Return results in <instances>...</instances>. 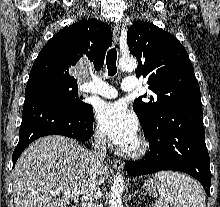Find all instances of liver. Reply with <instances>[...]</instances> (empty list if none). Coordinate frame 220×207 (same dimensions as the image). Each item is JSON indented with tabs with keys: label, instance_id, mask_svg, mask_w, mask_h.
<instances>
[{
	"label": "liver",
	"instance_id": "liver-1",
	"mask_svg": "<svg viewBox=\"0 0 220 207\" xmlns=\"http://www.w3.org/2000/svg\"><path fill=\"white\" fill-rule=\"evenodd\" d=\"M91 177L89 153L77 141L59 135L40 138L21 154L13 171L15 207H66L82 194ZM108 168L98 173L100 184ZM62 189V197L56 190Z\"/></svg>",
	"mask_w": 220,
	"mask_h": 207
}]
</instances>
